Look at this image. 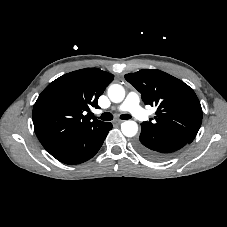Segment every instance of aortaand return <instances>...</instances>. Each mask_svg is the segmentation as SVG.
I'll use <instances>...</instances> for the list:
<instances>
[{
	"label": "aorta",
	"mask_w": 227,
	"mask_h": 227,
	"mask_svg": "<svg viewBox=\"0 0 227 227\" xmlns=\"http://www.w3.org/2000/svg\"><path fill=\"white\" fill-rule=\"evenodd\" d=\"M108 97L114 103H120L125 98V90L119 84H112L108 88ZM121 131L126 137H133L138 132V124L133 120H127L121 124Z\"/></svg>",
	"instance_id": "aorta-1"
}]
</instances>
